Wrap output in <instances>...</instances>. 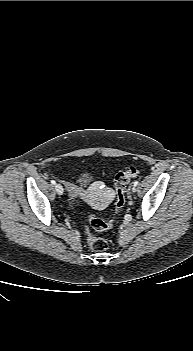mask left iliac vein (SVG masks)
<instances>
[{
    "label": "left iliac vein",
    "instance_id": "4c4485c4",
    "mask_svg": "<svg viewBox=\"0 0 193 351\" xmlns=\"http://www.w3.org/2000/svg\"><path fill=\"white\" fill-rule=\"evenodd\" d=\"M135 191H136V186L133 185L132 192H135Z\"/></svg>",
    "mask_w": 193,
    "mask_h": 351
}]
</instances>
